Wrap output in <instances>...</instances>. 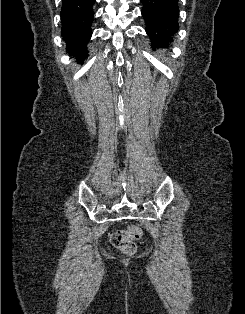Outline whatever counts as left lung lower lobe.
Returning a JSON list of instances; mask_svg holds the SVG:
<instances>
[{"instance_id":"0a47b994","label":"left lung lower lobe","mask_w":245,"mask_h":314,"mask_svg":"<svg viewBox=\"0 0 245 314\" xmlns=\"http://www.w3.org/2000/svg\"><path fill=\"white\" fill-rule=\"evenodd\" d=\"M146 32L153 45L167 44L178 31V0H140Z\"/></svg>"}]
</instances>
